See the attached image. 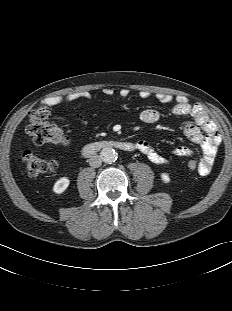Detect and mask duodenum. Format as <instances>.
Returning a JSON list of instances; mask_svg holds the SVG:
<instances>
[{
  "mask_svg": "<svg viewBox=\"0 0 232 311\" xmlns=\"http://www.w3.org/2000/svg\"><path fill=\"white\" fill-rule=\"evenodd\" d=\"M106 148H114L125 152H132L136 149L135 144L118 140H100L89 143L82 149L84 156H92L98 151Z\"/></svg>",
  "mask_w": 232,
  "mask_h": 311,
  "instance_id": "duodenum-1",
  "label": "duodenum"
}]
</instances>
